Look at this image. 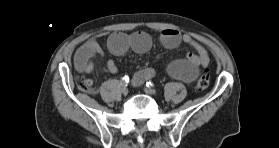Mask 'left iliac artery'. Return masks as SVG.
<instances>
[{"label":"left iliac artery","mask_w":279,"mask_h":148,"mask_svg":"<svg viewBox=\"0 0 279 148\" xmlns=\"http://www.w3.org/2000/svg\"><path fill=\"white\" fill-rule=\"evenodd\" d=\"M146 86L148 88H151V87H154V84L152 82L148 81V82H146Z\"/></svg>","instance_id":"obj_1"}]
</instances>
